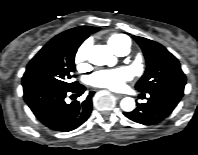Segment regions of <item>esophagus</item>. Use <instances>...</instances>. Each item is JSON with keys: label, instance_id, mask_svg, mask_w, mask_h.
<instances>
[{"label": "esophagus", "instance_id": "34e87169", "mask_svg": "<svg viewBox=\"0 0 198 155\" xmlns=\"http://www.w3.org/2000/svg\"><path fill=\"white\" fill-rule=\"evenodd\" d=\"M115 97L118 98V99H121V98L124 97V95H122V94H115Z\"/></svg>", "mask_w": 198, "mask_h": 155}]
</instances>
